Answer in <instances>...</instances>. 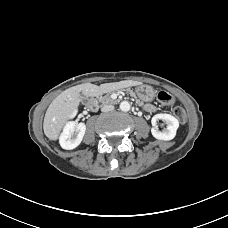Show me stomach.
<instances>
[{
	"label": "stomach",
	"mask_w": 228,
	"mask_h": 228,
	"mask_svg": "<svg viewBox=\"0 0 228 228\" xmlns=\"http://www.w3.org/2000/svg\"><path fill=\"white\" fill-rule=\"evenodd\" d=\"M135 94L144 102H149L154 99L155 92L153 88L146 84H141L135 88Z\"/></svg>",
	"instance_id": "obj_1"
}]
</instances>
